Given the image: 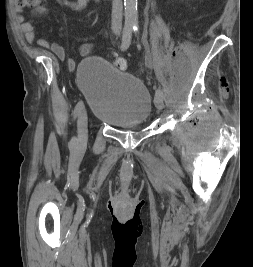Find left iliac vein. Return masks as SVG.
I'll return each mask as SVG.
<instances>
[{
  "instance_id": "1",
  "label": "left iliac vein",
  "mask_w": 253,
  "mask_h": 267,
  "mask_svg": "<svg viewBox=\"0 0 253 267\" xmlns=\"http://www.w3.org/2000/svg\"><path fill=\"white\" fill-rule=\"evenodd\" d=\"M164 98V93L155 96L154 104L158 110H162L164 108Z\"/></svg>"
}]
</instances>
